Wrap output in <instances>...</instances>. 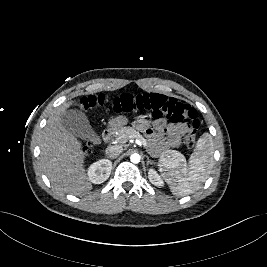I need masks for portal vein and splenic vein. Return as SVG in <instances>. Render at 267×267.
Returning <instances> with one entry per match:
<instances>
[{
	"instance_id": "1",
	"label": "portal vein and splenic vein",
	"mask_w": 267,
	"mask_h": 267,
	"mask_svg": "<svg viewBox=\"0 0 267 267\" xmlns=\"http://www.w3.org/2000/svg\"><path fill=\"white\" fill-rule=\"evenodd\" d=\"M118 142H120V143H125L127 140H126V137H118L117 139H116ZM136 143L138 144V145H140V146H142V145H146V141H145V139H137L136 140Z\"/></svg>"
}]
</instances>
